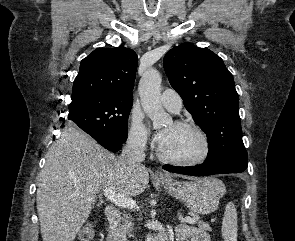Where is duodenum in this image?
<instances>
[{"label":"duodenum","instance_id":"duodenum-1","mask_svg":"<svg viewBox=\"0 0 295 241\" xmlns=\"http://www.w3.org/2000/svg\"><path fill=\"white\" fill-rule=\"evenodd\" d=\"M106 216V232L108 241H125V239L117 231V220L119 218V211L114 206H107L105 210ZM159 241H167L165 237L159 238Z\"/></svg>","mask_w":295,"mask_h":241}]
</instances>
